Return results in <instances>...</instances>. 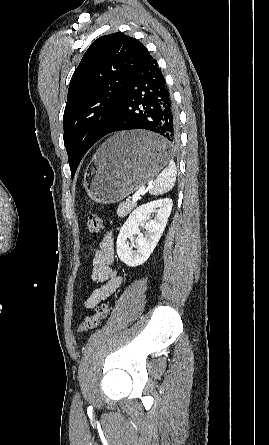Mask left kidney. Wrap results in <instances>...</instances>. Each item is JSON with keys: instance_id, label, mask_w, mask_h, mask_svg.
Returning <instances> with one entry per match:
<instances>
[{"instance_id": "obj_1", "label": "left kidney", "mask_w": 269, "mask_h": 445, "mask_svg": "<svg viewBox=\"0 0 269 445\" xmlns=\"http://www.w3.org/2000/svg\"><path fill=\"white\" fill-rule=\"evenodd\" d=\"M172 205L170 198H164L143 204L131 213L122 226L116 243L117 255L122 262L136 267L150 257L166 227ZM152 213H155L153 219L150 218ZM139 226L146 230L145 235L138 233ZM135 234L137 237L130 247L128 238Z\"/></svg>"}]
</instances>
